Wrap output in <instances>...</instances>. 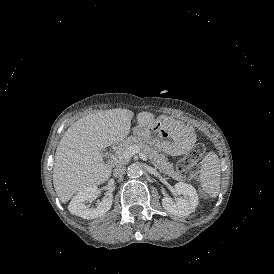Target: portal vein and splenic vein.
Instances as JSON below:
<instances>
[{"mask_svg": "<svg viewBox=\"0 0 274 274\" xmlns=\"http://www.w3.org/2000/svg\"><path fill=\"white\" fill-rule=\"evenodd\" d=\"M136 153H139V148L136 145H132V146H128L123 153L116 154L115 158L118 159V160L123 159V158L129 159ZM140 157L144 162L148 161V158H147L146 155L140 153Z\"/></svg>", "mask_w": 274, "mask_h": 274, "instance_id": "18ae733b", "label": "portal vein and splenic vein"}]
</instances>
